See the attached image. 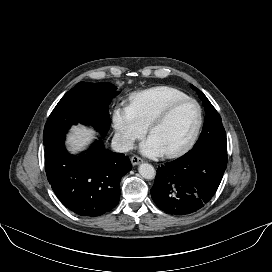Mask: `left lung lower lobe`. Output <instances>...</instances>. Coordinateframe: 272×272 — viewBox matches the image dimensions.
<instances>
[{
  "mask_svg": "<svg viewBox=\"0 0 272 272\" xmlns=\"http://www.w3.org/2000/svg\"><path fill=\"white\" fill-rule=\"evenodd\" d=\"M227 153L191 149L158 168L151 196L163 211L186 215L201 209L215 194L227 166Z\"/></svg>",
  "mask_w": 272,
  "mask_h": 272,
  "instance_id": "1",
  "label": "left lung lower lobe"
}]
</instances>
